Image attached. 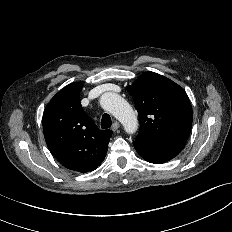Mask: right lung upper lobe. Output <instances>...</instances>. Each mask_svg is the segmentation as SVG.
Segmentation results:
<instances>
[{"label":"right lung upper lobe","instance_id":"right-lung-upper-lobe-1","mask_svg":"<svg viewBox=\"0 0 232 232\" xmlns=\"http://www.w3.org/2000/svg\"><path fill=\"white\" fill-rule=\"evenodd\" d=\"M82 83L59 91L43 114V132L53 156L66 168L81 173L95 170L104 160L111 130H99L80 103Z\"/></svg>","mask_w":232,"mask_h":232}]
</instances>
